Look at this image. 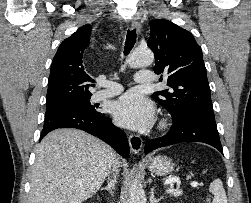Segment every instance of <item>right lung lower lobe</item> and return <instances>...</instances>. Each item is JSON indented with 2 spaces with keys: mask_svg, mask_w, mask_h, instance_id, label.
<instances>
[{
  "mask_svg": "<svg viewBox=\"0 0 251 203\" xmlns=\"http://www.w3.org/2000/svg\"><path fill=\"white\" fill-rule=\"evenodd\" d=\"M57 128H76L97 136L112 146L122 157L129 155L130 149L126 134L112 124L105 114H92L83 111H63L47 116L40 140Z\"/></svg>",
  "mask_w": 251,
  "mask_h": 203,
  "instance_id": "98d812e1",
  "label": "right lung lower lobe"
}]
</instances>
